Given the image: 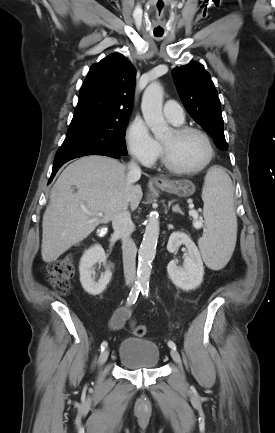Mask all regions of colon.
<instances>
[{"mask_svg": "<svg viewBox=\"0 0 275 433\" xmlns=\"http://www.w3.org/2000/svg\"><path fill=\"white\" fill-rule=\"evenodd\" d=\"M75 276V267L72 254L66 255L61 260L49 265L47 279L49 284L60 294H67L71 282ZM133 333L136 337H143L147 333V328L143 324H137Z\"/></svg>", "mask_w": 275, "mask_h": 433, "instance_id": "obj_1", "label": "colon"}]
</instances>
